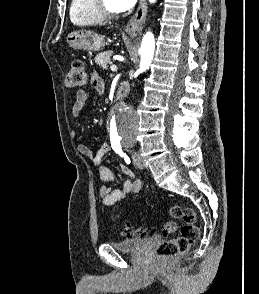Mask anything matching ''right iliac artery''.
Wrapping results in <instances>:
<instances>
[{
	"label": "right iliac artery",
	"mask_w": 259,
	"mask_h": 294,
	"mask_svg": "<svg viewBox=\"0 0 259 294\" xmlns=\"http://www.w3.org/2000/svg\"><path fill=\"white\" fill-rule=\"evenodd\" d=\"M111 146L113 148V150L119 154L121 157L124 158V160L126 161L127 164L130 163V159L129 157L123 152L120 143L118 142H111Z\"/></svg>",
	"instance_id": "right-iliac-artery-1"
}]
</instances>
